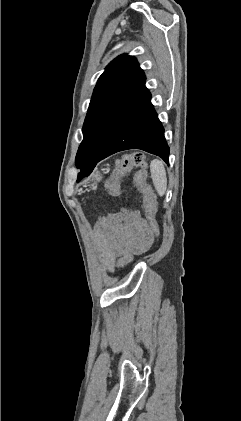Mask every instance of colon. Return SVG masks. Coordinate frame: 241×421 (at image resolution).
<instances>
[{
  "label": "colon",
  "instance_id": "5ec220e1",
  "mask_svg": "<svg viewBox=\"0 0 241 421\" xmlns=\"http://www.w3.org/2000/svg\"><path fill=\"white\" fill-rule=\"evenodd\" d=\"M140 167L135 173L134 182L142 194L143 207L146 216L155 232L159 231V226L156 219L157 214V200L152 187L146 182V162L145 157L140 152H133L121 157L109 177L105 182L106 191L109 196L117 197L120 194V179L122 176L130 172L133 168ZM133 255L127 254L121 257L118 261V267L123 268L131 263Z\"/></svg>",
  "mask_w": 241,
  "mask_h": 421
}]
</instances>
